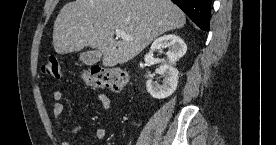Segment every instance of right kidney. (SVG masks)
<instances>
[{
    "instance_id": "1",
    "label": "right kidney",
    "mask_w": 276,
    "mask_h": 145,
    "mask_svg": "<svg viewBox=\"0 0 276 145\" xmlns=\"http://www.w3.org/2000/svg\"><path fill=\"white\" fill-rule=\"evenodd\" d=\"M160 48H167L166 59H155L153 52ZM187 46L185 42L175 34H168L156 39L145 56L146 63H161L156 72L163 76V82L159 85L157 82L148 80L146 83L147 91L155 99H164L169 97L178 84V71L174 67L175 63L185 55Z\"/></svg>"
}]
</instances>
